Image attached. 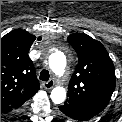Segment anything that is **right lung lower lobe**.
I'll list each match as a JSON object with an SVG mask.
<instances>
[{
    "instance_id": "obj_1",
    "label": "right lung lower lobe",
    "mask_w": 122,
    "mask_h": 122,
    "mask_svg": "<svg viewBox=\"0 0 122 122\" xmlns=\"http://www.w3.org/2000/svg\"><path fill=\"white\" fill-rule=\"evenodd\" d=\"M17 108H14V107H11V106H7V107H4V108H1V114L5 115V114H11L13 112L16 111Z\"/></svg>"
}]
</instances>
